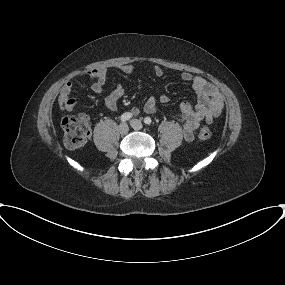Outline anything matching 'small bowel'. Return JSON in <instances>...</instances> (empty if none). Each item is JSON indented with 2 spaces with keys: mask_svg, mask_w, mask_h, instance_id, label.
Returning <instances> with one entry per match:
<instances>
[{
  "mask_svg": "<svg viewBox=\"0 0 285 285\" xmlns=\"http://www.w3.org/2000/svg\"><path fill=\"white\" fill-rule=\"evenodd\" d=\"M133 69L134 67L130 64L119 67V70L124 74L132 73ZM153 74L157 77H161L163 75V69L159 66H155L153 68ZM181 77L184 81L191 83L192 88L197 95L196 105L193 106L189 102H182L176 113L177 119L182 123L184 139L187 142H191L194 139L195 131L200 126L201 122L206 121L211 123L221 114L224 103L218 89L203 77L189 72H184ZM84 79L96 80V82L92 84L91 90L99 95L104 91V85L107 81V72L105 69H89L82 72L77 78L66 82L62 86L58 96V103L61 108L69 112L76 110L77 102L70 97V94L78 80ZM124 93L125 90L123 86L118 83L104 98L105 106L110 110H116L118 100L124 96ZM158 100L161 103H167L169 98L166 95H161ZM158 100L155 97H150L144 105V111L149 114L154 113L157 108ZM132 112L138 114L139 109L133 108Z\"/></svg>",
  "mask_w": 285,
  "mask_h": 285,
  "instance_id": "c3829d8e",
  "label": "small bowel"
}]
</instances>
